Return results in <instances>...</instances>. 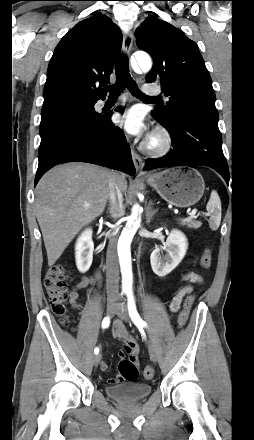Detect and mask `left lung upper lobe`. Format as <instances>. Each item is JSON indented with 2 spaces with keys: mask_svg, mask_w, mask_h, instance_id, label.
Wrapping results in <instances>:
<instances>
[{
  "mask_svg": "<svg viewBox=\"0 0 254 440\" xmlns=\"http://www.w3.org/2000/svg\"><path fill=\"white\" fill-rule=\"evenodd\" d=\"M140 49L153 58L146 82L159 83L169 102L153 114L167 126L179 125L184 114L218 121L212 80L196 43L171 24L150 18L136 29Z\"/></svg>",
  "mask_w": 254,
  "mask_h": 440,
  "instance_id": "5c2ea615",
  "label": "left lung upper lobe"
}]
</instances>
